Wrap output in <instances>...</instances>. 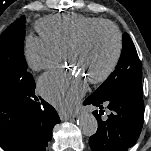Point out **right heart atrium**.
Masks as SVG:
<instances>
[{"label": "right heart atrium", "instance_id": "obj_1", "mask_svg": "<svg viewBox=\"0 0 151 151\" xmlns=\"http://www.w3.org/2000/svg\"><path fill=\"white\" fill-rule=\"evenodd\" d=\"M25 58L36 71L49 69L62 58V52L42 36H30L25 43Z\"/></svg>", "mask_w": 151, "mask_h": 151}]
</instances>
